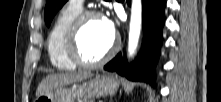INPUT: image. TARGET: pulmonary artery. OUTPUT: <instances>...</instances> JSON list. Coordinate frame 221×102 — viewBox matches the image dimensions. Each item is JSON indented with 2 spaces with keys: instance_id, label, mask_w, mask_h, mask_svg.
<instances>
[{
  "instance_id": "pulmonary-artery-1",
  "label": "pulmonary artery",
  "mask_w": 221,
  "mask_h": 102,
  "mask_svg": "<svg viewBox=\"0 0 221 102\" xmlns=\"http://www.w3.org/2000/svg\"><path fill=\"white\" fill-rule=\"evenodd\" d=\"M71 2L74 3V4H76V5H78V6H80V7H82V6H83V3H84L83 0H72Z\"/></svg>"
}]
</instances>
